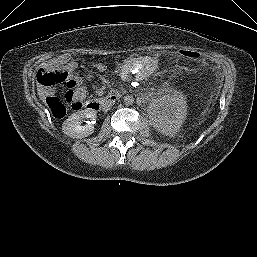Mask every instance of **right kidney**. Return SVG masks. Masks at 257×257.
Instances as JSON below:
<instances>
[{"label": "right kidney", "instance_id": "1", "mask_svg": "<svg viewBox=\"0 0 257 257\" xmlns=\"http://www.w3.org/2000/svg\"><path fill=\"white\" fill-rule=\"evenodd\" d=\"M95 118L96 113L88 109L73 113L64 121L62 130L64 134L72 138L87 137L94 132L93 122ZM86 119L89 120L87 124L81 125V122Z\"/></svg>", "mask_w": 257, "mask_h": 257}]
</instances>
